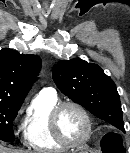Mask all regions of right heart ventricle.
Listing matches in <instances>:
<instances>
[{
	"label": "right heart ventricle",
	"instance_id": "right-heart-ventricle-1",
	"mask_svg": "<svg viewBox=\"0 0 130 153\" xmlns=\"http://www.w3.org/2000/svg\"><path fill=\"white\" fill-rule=\"evenodd\" d=\"M59 102L51 91H41L33 99L24 120V141L32 150L56 152L66 148L54 138L49 125L50 112Z\"/></svg>",
	"mask_w": 130,
	"mask_h": 153
}]
</instances>
